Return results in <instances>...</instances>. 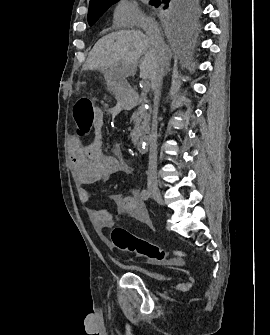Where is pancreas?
<instances>
[{
    "instance_id": "pancreas-1",
    "label": "pancreas",
    "mask_w": 270,
    "mask_h": 335,
    "mask_svg": "<svg viewBox=\"0 0 270 335\" xmlns=\"http://www.w3.org/2000/svg\"><path fill=\"white\" fill-rule=\"evenodd\" d=\"M132 120H134V130L131 132L132 142H137L140 136L143 134H148L149 128V120L150 116L145 112V110H138L136 114H133Z\"/></svg>"
}]
</instances>
